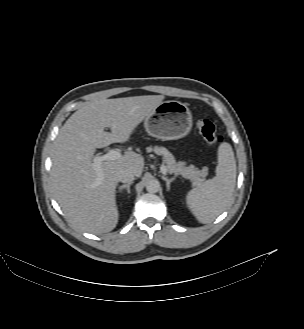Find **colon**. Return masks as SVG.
Here are the masks:
<instances>
[{
    "label": "colon",
    "mask_w": 304,
    "mask_h": 329,
    "mask_svg": "<svg viewBox=\"0 0 304 329\" xmlns=\"http://www.w3.org/2000/svg\"><path fill=\"white\" fill-rule=\"evenodd\" d=\"M197 128L203 139L210 145H218L223 142V137L217 135L214 123L205 117H201L196 122Z\"/></svg>",
    "instance_id": "obj_1"
}]
</instances>
